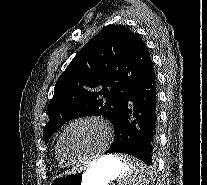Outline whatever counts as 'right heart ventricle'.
<instances>
[{
	"label": "right heart ventricle",
	"instance_id": "right-heart-ventricle-1",
	"mask_svg": "<svg viewBox=\"0 0 207 185\" xmlns=\"http://www.w3.org/2000/svg\"><path fill=\"white\" fill-rule=\"evenodd\" d=\"M55 157H56L58 163L61 164V165H63V164L66 165V164L69 163V161L66 160V159L62 156V154H61V152H60V149H59V141L57 142L56 147H55Z\"/></svg>",
	"mask_w": 207,
	"mask_h": 185
}]
</instances>
